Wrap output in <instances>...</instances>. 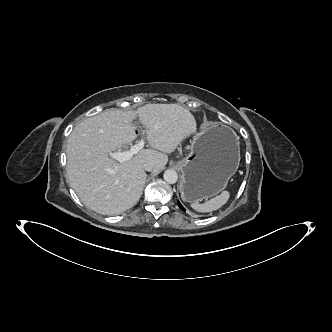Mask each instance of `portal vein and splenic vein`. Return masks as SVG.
Segmentation results:
<instances>
[{"label": "portal vein and splenic vein", "instance_id": "obj_1", "mask_svg": "<svg viewBox=\"0 0 332 332\" xmlns=\"http://www.w3.org/2000/svg\"><path fill=\"white\" fill-rule=\"evenodd\" d=\"M145 144V137H142L138 143L133 145L130 150L128 151H123V152H113L110 154V157L119 161V162H124L127 160H130L134 155H136L141 149L144 148Z\"/></svg>", "mask_w": 332, "mask_h": 332}]
</instances>
